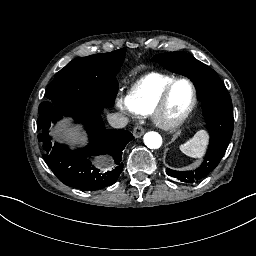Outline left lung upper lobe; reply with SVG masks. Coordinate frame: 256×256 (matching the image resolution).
Segmentation results:
<instances>
[{
    "label": "left lung upper lobe",
    "instance_id": "obj_1",
    "mask_svg": "<svg viewBox=\"0 0 256 256\" xmlns=\"http://www.w3.org/2000/svg\"><path fill=\"white\" fill-rule=\"evenodd\" d=\"M152 61L172 72L187 76L194 82L210 132V144L201 166L183 173L206 177L219 164L232 137L234 120L229 93L215 71L190 54L181 51L162 53L155 55Z\"/></svg>",
    "mask_w": 256,
    "mask_h": 256
}]
</instances>
